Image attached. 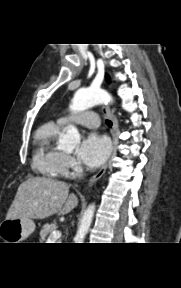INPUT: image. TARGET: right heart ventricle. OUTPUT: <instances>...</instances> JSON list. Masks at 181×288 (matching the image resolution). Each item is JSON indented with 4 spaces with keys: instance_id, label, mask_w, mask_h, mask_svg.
<instances>
[{
    "instance_id": "right-heart-ventricle-1",
    "label": "right heart ventricle",
    "mask_w": 181,
    "mask_h": 288,
    "mask_svg": "<svg viewBox=\"0 0 181 288\" xmlns=\"http://www.w3.org/2000/svg\"><path fill=\"white\" fill-rule=\"evenodd\" d=\"M61 131L60 123H46L35 134V152L33 166L43 175L60 176L64 168L65 153L57 145V137Z\"/></svg>"
}]
</instances>
